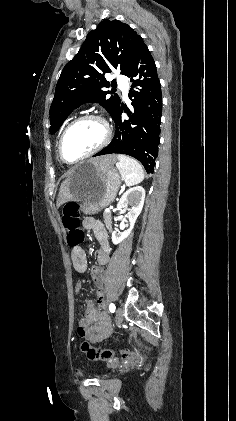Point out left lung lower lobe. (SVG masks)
<instances>
[{"instance_id":"left-lung-lower-lobe-1","label":"left lung lower lobe","mask_w":236,"mask_h":421,"mask_svg":"<svg viewBox=\"0 0 236 421\" xmlns=\"http://www.w3.org/2000/svg\"><path fill=\"white\" fill-rule=\"evenodd\" d=\"M125 75L131 79V89H136L129 93L133 110L128 111L129 120L123 119V104L120 103L112 117L116 125L115 136L94 156L126 154L139 160L147 173H153L160 143L162 95L155 62L145 44L137 50Z\"/></svg>"}]
</instances>
